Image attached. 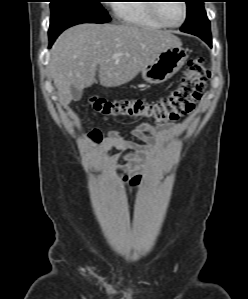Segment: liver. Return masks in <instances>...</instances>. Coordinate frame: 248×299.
I'll list each match as a JSON object with an SVG mask.
<instances>
[{"mask_svg": "<svg viewBox=\"0 0 248 299\" xmlns=\"http://www.w3.org/2000/svg\"><path fill=\"white\" fill-rule=\"evenodd\" d=\"M173 46H181V41L170 31L127 24L76 25L63 32L50 51L49 69L59 101L63 106L72 101V86H92L97 67L102 86H120Z\"/></svg>", "mask_w": 248, "mask_h": 299, "instance_id": "1", "label": "liver"}]
</instances>
